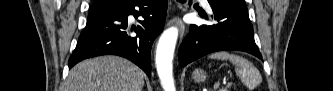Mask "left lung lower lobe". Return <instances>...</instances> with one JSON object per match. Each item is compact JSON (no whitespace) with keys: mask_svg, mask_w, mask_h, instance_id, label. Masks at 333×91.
<instances>
[{"mask_svg":"<svg viewBox=\"0 0 333 91\" xmlns=\"http://www.w3.org/2000/svg\"><path fill=\"white\" fill-rule=\"evenodd\" d=\"M215 25H191L179 49V62L185 66L216 51H244L262 56L254 41L253 28L244 0H208Z\"/></svg>","mask_w":333,"mask_h":91,"instance_id":"0a47b994","label":"left lung lower lobe"}]
</instances>
